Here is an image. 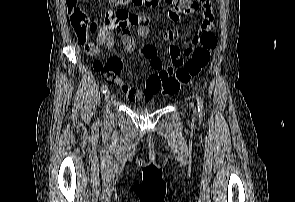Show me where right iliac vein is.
<instances>
[{
	"instance_id": "obj_1",
	"label": "right iliac vein",
	"mask_w": 295,
	"mask_h": 202,
	"mask_svg": "<svg viewBox=\"0 0 295 202\" xmlns=\"http://www.w3.org/2000/svg\"><path fill=\"white\" fill-rule=\"evenodd\" d=\"M109 97H110V92L107 91V92L105 93L104 99L107 101V100L109 99Z\"/></svg>"
}]
</instances>
